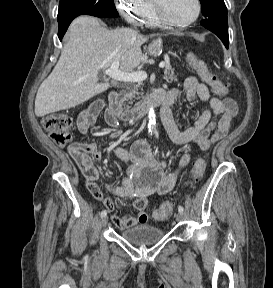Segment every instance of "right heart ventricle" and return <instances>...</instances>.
Wrapping results in <instances>:
<instances>
[{"instance_id":"obj_1","label":"right heart ventricle","mask_w":273,"mask_h":288,"mask_svg":"<svg viewBox=\"0 0 273 288\" xmlns=\"http://www.w3.org/2000/svg\"><path fill=\"white\" fill-rule=\"evenodd\" d=\"M142 22L148 27H155L159 25V21L156 19L152 5L150 6L149 12L146 14Z\"/></svg>"}]
</instances>
